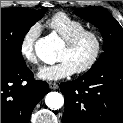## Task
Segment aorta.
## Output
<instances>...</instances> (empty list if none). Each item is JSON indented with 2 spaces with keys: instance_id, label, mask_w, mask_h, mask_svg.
I'll return each instance as SVG.
<instances>
[{
  "instance_id": "aorta-1",
  "label": "aorta",
  "mask_w": 123,
  "mask_h": 123,
  "mask_svg": "<svg viewBox=\"0 0 123 123\" xmlns=\"http://www.w3.org/2000/svg\"><path fill=\"white\" fill-rule=\"evenodd\" d=\"M59 43L52 35L38 39L35 43V52L39 59L52 64L56 61V51ZM47 107L53 110L60 109L64 105V97L58 92H50L45 96Z\"/></svg>"
}]
</instances>
